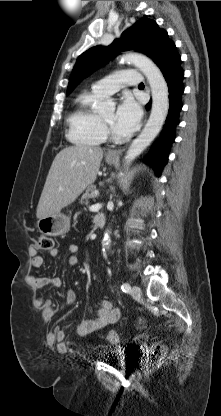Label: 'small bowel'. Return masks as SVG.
<instances>
[{
  "label": "small bowel",
  "instance_id": "small-bowel-1",
  "mask_svg": "<svg viewBox=\"0 0 221 416\" xmlns=\"http://www.w3.org/2000/svg\"><path fill=\"white\" fill-rule=\"evenodd\" d=\"M68 258L67 264L74 266L79 261V247L75 243H69L67 245ZM58 249L51 250V254L56 256ZM43 265V258L38 254L37 249L33 248L31 251V271L29 273L30 282L35 288L41 289L45 287L59 288L62 284L61 279L58 277H42L36 276L35 270ZM76 295L73 290L66 292V303L71 305L75 302ZM37 306L42 308L43 315L47 319H51L56 313V304L50 298L37 297L35 299ZM120 317V310L113 305L110 300H102L99 303L96 317L92 320L83 321L76 324V333L79 336H87L92 334L105 326L115 323ZM56 337L62 339L65 335L62 329L55 331Z\"/></svg>",
  "mask_w": 221,
  "mask_h": 416
}]
</instances>
